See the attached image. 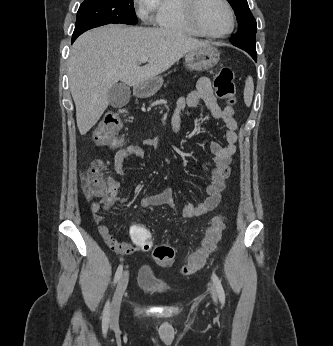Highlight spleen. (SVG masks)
Masks as SVG:
<instances>
[{"mask_svg": "<svg viewBox=\"0 0 333 346\" xmlns=\"http://www.w3.org/2000/svg\"><path fill=\"white\" fill-rule=\"evenodd\" d=\"M254 94V83L251 76L247 77L244 88V101L247 106L251 105Z\"/></svg>", "mask_w": 333, "mask_h": 346, "instance_id": "spleen-1", "label": "spleen"}]
</instances>
